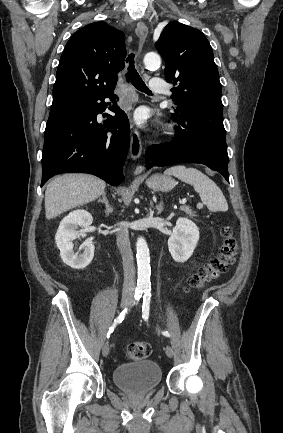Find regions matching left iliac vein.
Returning a JSON list of instances; mask_svg holds the SVG:
<instances>
[{
    "label": "left iliac vein",
    "instance_id": "obj_1",
    "mask_svg": "<svg viewBox=\"0 0 283 433\" xmlns=\"http://www.w3.org/2000/svg\"><path fill=\"white\" fill-rule=\"evenodd\" d=\"M165 352H166V355L168 356V357H173V349H172V347L171 346H166V348H165Z\"/></svg>",
    "mask_w": 283,
    "mask_h": 433
}]
</instances>
